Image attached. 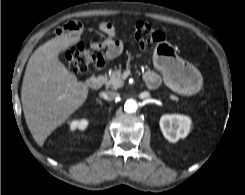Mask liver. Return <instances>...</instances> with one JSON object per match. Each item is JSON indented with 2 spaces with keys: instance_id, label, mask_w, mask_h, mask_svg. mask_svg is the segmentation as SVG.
<instances>
[{
  "instance_id": "obj_1",
  "label": "liver",
  "mask_w": 245,
  "mask_h": 195,
  "mask_svg": "<svg viewBox=\"0 0 245 195\" xmlns=\"http://www.w3.org/2000/svg\"><path fill=\"white\" fill-rule=\"evenodd\" d=\"M79 41L80 36H56L40 46L27 63L21 101L27 126L39 146L88 97V86L58 59L59 53Z\"/></svg>"
}]
</instances>
